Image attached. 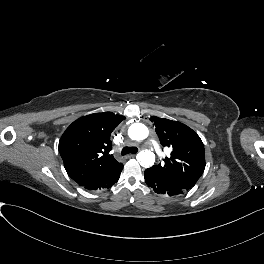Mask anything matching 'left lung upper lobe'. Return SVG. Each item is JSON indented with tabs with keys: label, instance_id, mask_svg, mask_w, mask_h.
Returning <instances> with one entry per match:
<instances>
[{
	"label": "left lung upper lobe",
	"instance_id": "left-lung-upper-lobe-1",
	"mask_svg": "<svg viewBox=\"0 0 264 264\" xmlns=\"http://www.w3.org/2000/svg\"><path fill=\"white\" fill-rule=\"evenodd\" d=\"M155 126L161 144L168 147L170 153L164 163L154 165L145 172L185 193L204 172L203 142L195 131L181 122L155 118Z\"/></svg>",
	"mask_w": 264,
	"mask_h": 264
}]
</instances>
